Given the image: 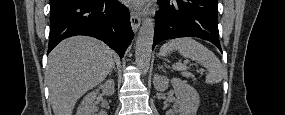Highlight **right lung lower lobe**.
Returning a JSON list of instances; mask_svg holds the SVG:
<instances>
[{
	"label": "right lung lower lobe",
	"instance_id": "1",
	"mask_svg": "<svg viewBox=\"0 0 285 115\" xmlns=\"http://www.w3.org/2000/svg\"><path fill=\"white\" fill-rule=\"evenodd\" d=\"M74 35L98 38L121 57L134 36L129 11L117 0H53L48 53Z\"/></svg>",
	"mask_w": 285,
	"mask_h": 115
}]
</instances>
